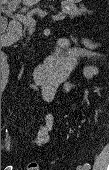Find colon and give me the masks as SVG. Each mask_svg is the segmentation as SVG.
<instances>
[{
    "mask_svg": "<svg viewBox=\"0 0 109 170\" xmlns=\"http://www.w3.org/2000/svg\"><path fill=\"white\" fill-rule=\"evenodd\" d=\"M28 170H39V166L36 163L30 164Z\"/></svg>",
    "mask_w": 109,
    "mask_h": 170,
    "instance_id": "obj_1",
    "label": "colon"
}]
</instances>
